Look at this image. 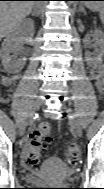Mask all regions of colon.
Segmentation results:
<instances>
[{
	"label": "colon",
	"instance_id": "1",
	"mask_svg": "<svg viewBox=\"0 0 104 189\" xmlns=\"http://www.w3.org/2000/svg\"><path fill=\"white\" fill-rule=\"evenodd\" d=\"M96 73H100L97 69ZM51 126L48 123H41L37 126L32 134L29 148L26 152V164L29 168L34 169L38 166L41 153L46 144L51 140ZM79 148L71 143L66 150L67 160L70 164H76L79 159Z\"/></svg>",
	"mask_w": 104,
	"mask_h": 189
}]
</instances>
